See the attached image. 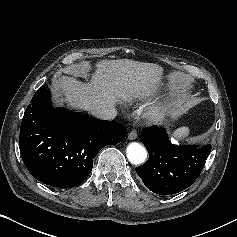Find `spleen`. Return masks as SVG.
I'll use <instances>...</instances> for the list:
<instances>
[{"mask_svg":"<svg viewBox=\"0 0 237 237\" xmlns=\"http://www.w3.org/2000/svg\"><path fill=\"white\" fill-rule=\"evenodd\" d=\"M190 133V129L188 127H180L177 128L174 132H173V140L175 141H183L184 139H186L188 137Z\"/></svg>","mask_w":237,"mask_h":237,"instance_id":"obj_1","label":"spleen"}]
</instances>
